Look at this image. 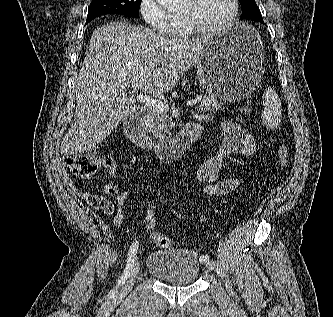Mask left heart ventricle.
Here are the masks:
<instances>
[{"label":"left heart ventricle","instance_id":"b2bd125f","mask_svg":"<svg viewBox=\"0 0 333 317\" xmlns=\"http://www.w3.org/2000/svg\"><path fill=\"white\" fill-rule=\"evenodd\" d=\"M231 0H183L179 12H188L202 26L222 23L231 13Z\"/></svg>","mask_w":333,"mask_h":317}]
</instances>
